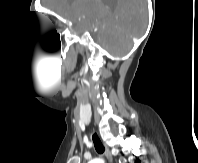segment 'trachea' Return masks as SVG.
<instances>
[{"label": "trachea", "mask_w": 198, "mask_h": 163, "mask_svg": "<svg viewBox=\"0 0 198 163\" xmlns=\"http://www.w3.org/2000/svg\"><path fill=\"white\" fill-rule=\"evenodd\" d=\"M92 139H93V143H94L96 151L99 154H102L105 151V148H104L100 138L98 137L97 134H93Z\"/></svg>", "instance_id": "3493384b"}]
</instances>
